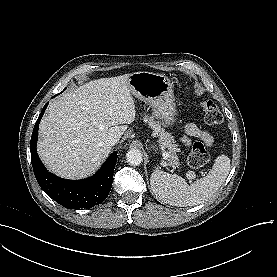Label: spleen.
Returning <instances> with one entry per match:
<instances>
[{
  "label": "spleen",
  "mask_w": 277,
  "mask_h": 277,
  "mask_svg": "<svg viewBox=\"0 0 277 277\" xmlns=\"http://www.w3.org/2000/svg\"><path fill=\"white\" fill-rule=\"evenodd\" d=\"M230 158L220 155L215 159L209 173L191 184L177 174L156 168L150 178L152 191L159 200L171 205L185 207L203 203L212 197L230 172Z\"/></svg>",
  "instance_id": "3e777b00"
}]
</instances>
